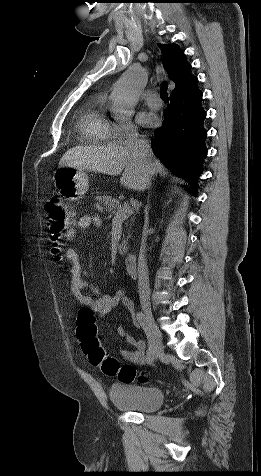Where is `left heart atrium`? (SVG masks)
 <instances>
[{
	"label": "left heart atrium",
	"mask_w": 261,
	"mask_h": 476,
	"mask_svg": "<svg viewBox=\"0 0 261 476\" xmlns=\"http://www.w3.org/2000/svg\"><path fill=\"white\" fill-rule=\"evenodd\" d=\"M138 122L144 126H152L156 122V117L151 113L142 112L138 115Z\"/></svg>",
	"instance_id": "obj_1"
}]
</instances>
